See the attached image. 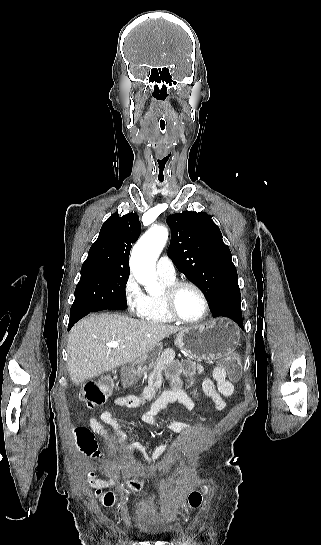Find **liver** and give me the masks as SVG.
Instances as JSON below:
<instances>
[{
	"mask_svg": "<svg viewBox=\"0 0 321 545\" xmlns=\"http://www.w3.org/2000/svg\"><path fill=\"white\" fill-rule=\"evenodd\" d=\"M182 327L139 321L125 315H89L74 325L68 337V371L74 385L124 367L146 355L159 341ZM117 341L118 349H108L106 343Z\"/></svg>",
	"mask_w": 321,
	"mask_h": 545,
	"instance_id": "1",
	"label": "liver"
}]
</instances>
